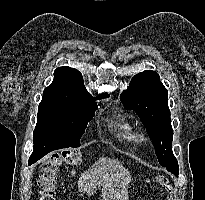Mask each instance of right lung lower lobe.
Masks as SVG:
<instances>
[{
	"label": "right lung lower lobe",
	"mask_w": 205,
	"mask_h": 200,
	"mask_svg": "<svg viewBox=\"0 0 205 200\" xmlns=\"http://www.w3.org/2000/svg\"><path fill=\"white\" fill-rule=\"evenodd\" d=\"M33 143L34 151L29 158V165L35 163L47 153L56 149L66 148L67 146L60 139L48 133L33 134Z\"/></svg>",
	"instance_id": "98d812e1"
}]
</instances>
